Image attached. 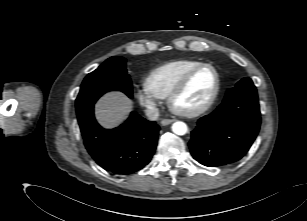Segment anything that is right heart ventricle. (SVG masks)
I'll use <instances>...</instances> for the list:
<instances>
[{"label": "right heart ventricle", "mask_w": 307, "mask_h": 221, "mask_svg": "<svg viewBox=\"0 0 307 221\" xmlns=\"http://www.w3.org/2000/svg\"><path fill=\"white\" fill-rule=\"evenodd\" d=\"M203 62L176 60L152 69L144 80L145 89L157 99H166L179 81Z\"/></svg>", "instance_id": "1"}]
</instances>
